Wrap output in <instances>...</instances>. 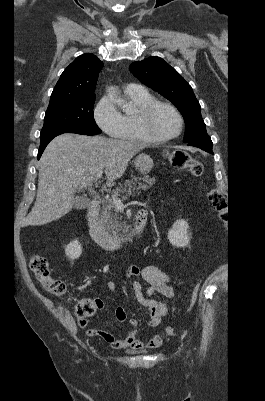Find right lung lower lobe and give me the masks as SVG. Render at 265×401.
<instances>
[{
    "instance_id": "right-lung-lower-lobe-1",
    "label": "right lung lower lobe",
    "mask_w": 265,
    "mask_h": 401,
    "mask_svg": "<svg viewBox=\"0 0 265 401\" xmlns=\"http://www.w3.org/2000/svg\"><path fill=\"white\" fill-rule=\"evenodd\" d=\"M52 139H53V138H52ZM52 139H49V140H47V141H45V142H40V148H39V151H38V159L40 158V156L42 155L44 149L46 148V146L48 145V143H49Z\"/></svg>"
}]
</instances>
